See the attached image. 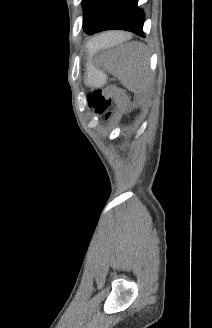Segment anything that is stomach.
Here are the masks:
<instances>
[{
  "mask_svg": "<svg viewBox=\"0 0 212 328\" xmlns=\"http://www.w3.org/2000/svg\"><path fill=\"white\" fill-rule=\"evenodd\" d=\"M87 83L90 86H101L106 80L105 74L96 69L94 66L89 65L87 68Z\"/></svg>",
  "mask_w": 212,
  "mask_h": 328,
  "instance_id": "0dacf381",
  "label": "stomach"
}]
</instances>
